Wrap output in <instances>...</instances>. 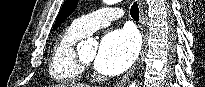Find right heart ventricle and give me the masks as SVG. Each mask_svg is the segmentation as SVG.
I'll use <instances>...</instances> for the list:
<instances>
[{
  "instance_id": "right-heart-ventricle-1",
  "label": "right heart ventricle",
  "mask_w": 205,
  "mask_h": 87,
  "mask_svg": "<svg viewBox=\"0 0 205 87\" xmlns=\"http://www.w3.org/2000/svg\"><path fill=\"white\" fill-rule=\"evenodd\" d=\"M84 37L70 26L55 40L49 60V74L55 82L73 84L81 80L83 71L76 60L75 46Z\"/></svg>"
}]
</instances>
